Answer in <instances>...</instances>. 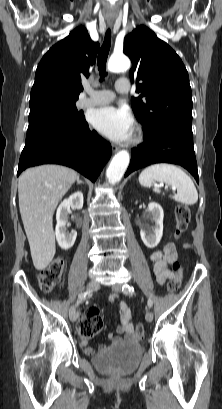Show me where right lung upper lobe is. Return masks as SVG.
I'll use <instances>...</instances> for the list:
<instances>
[{
    "instance_id": "1",
    "label": "right lung upper lobe",
    "mask_w": 222,
    "mask_h": 409,
    "mask_svg": "<svg viewBox=\"0 0 222 409\" xmlns=\"http://www.w3.org/2000/svg\"><path fill=\"white\" fill-rule=\"evenodd\" d=\"M99 43L80 26L43 56L31 90L30 108L50 102H73L83 90L81 78L88 77L96 61Z\"/></svg>"
}]
</instances>
